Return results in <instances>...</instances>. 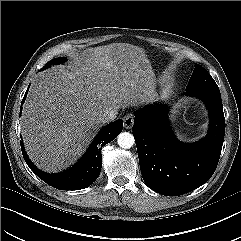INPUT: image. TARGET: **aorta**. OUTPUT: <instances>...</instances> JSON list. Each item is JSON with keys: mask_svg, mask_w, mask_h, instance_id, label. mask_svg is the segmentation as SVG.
<instances>
[{"mask_svg": "<svg viewBox=\"0 0 241 241\" xmlns=\"http://www.w3.org/2000/svg\"><path fill=\"white\" fill-rule=\"evenodd\" d=\"M117 142L121 148L130 149L134 145L135 140L131 133L122 132L118 135Z\"/></svg>", "mask_w": 241, "mask_h": 241, "instance_id": "aorta-1", "label": "aorta"}]
</instances>
